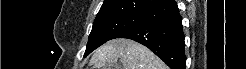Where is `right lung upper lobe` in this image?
Wrapping results in <instances>:
<instances>
[{
  "mask_svg": "<svg viewBox=\"0 0 246 69\" xmlns=\"http://www.w3.org/2000/svg\"><path fill=\"white\" fill-rule=\"evenodd\" d=\"M169 0H105L96 19L123 14H143L145 11Z\"/></svg>",
  "mask_w": 246,
  "mask_h": 69,
  "instance_id": "right-lung-upper-lobe-1",
  "label": "right lung upper lobe"
}]
</instances>
